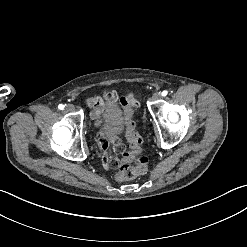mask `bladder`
Masks as SVG:
<instances>
[{
	"instance_id": "1",
	"label": "bladder",
	"mask_w": 247,
	"mask_h": 247,
	"mask_svg": "<svg viewBox=\"0 0 247 247\" xmlns=\"http://www.w3.org/2000/svg\"><path fill=\"white\" fill-rule=\"evenodd\" d=\"M102 121L106 123L104 129H108V137L114 130H122L121 107L118 103H107L102 112Z\"/></svg>"
}]
</instances>
